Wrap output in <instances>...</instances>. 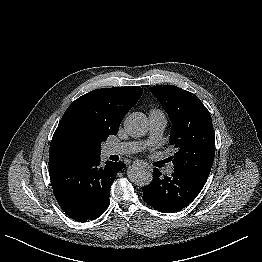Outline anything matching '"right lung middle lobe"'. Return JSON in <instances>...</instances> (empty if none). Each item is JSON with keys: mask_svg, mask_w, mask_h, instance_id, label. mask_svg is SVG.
Listing matches in <instances>:
<instances>
[{"mask_svg": "<svg viewBox=\"0 0 262 262\" xmlns=\"http://www.w3.org/2000/svg\"><path fill=\"white\" fill-rule=\"evenodd\" d=\"M108 138L106 133L94 130H88L83 132L79 137L78 140L80 142H85L92 145V156H99L101 153L100 145L103 141Z\"/></svg>", "mask_w": 262, "mask_h": 262, "instance_id": "1", "label": "right lung middle lobe"}]
</instances>
